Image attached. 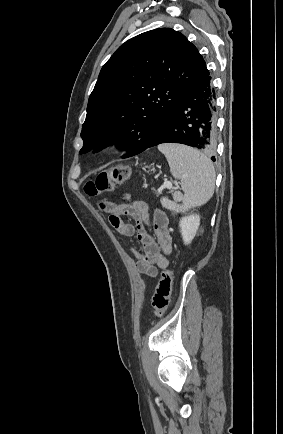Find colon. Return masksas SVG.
I'll use <instances>...</instances> for the list:
<instances>
[{
	"instance_id": "colon-1",
	"label": "colon",
	"mask_w": 283,
	"mask_h": 434,
	"mask_svg": "<svg viewBox=\"0 0 283 434\" xmlns=\"http://www.w3.org/2000/svg\"><path fill=\"white\" fill-rule=\"evenodd\" d=\"M131 171L127 166H118L100 172L94 179L86 182L84 191L89 196H95L109 191L116 184L124 183L130 177ZM128 198V196H127ZM172 269L162 271L160 279L152 297V307L156 316H162L170 303L172 289Z\"/></svg>"
}]
</instances>
